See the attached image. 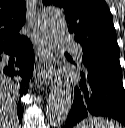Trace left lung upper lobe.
<instances>
[{
    "instance_id": "left-lung-upper-lobe-1",
    "label": "left lung upper lobe",
    "mask_w": 125,
    "mask_h": 128,
    "mask_svg": "<svg viewBox=\"0 0 125 128\" xmlns=\"http://www.w3.org/2000/svg\"><path fill=\"white\" fill-rule=\"evenodd\" d=\"M43 4L64 11L69 33L82 45L84 67L120 64L116 30L104 0H43Z\"/></svg>"
}]
</instances>
